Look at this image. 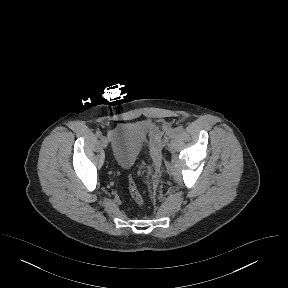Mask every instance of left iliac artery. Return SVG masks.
<instances>
[{
  "label": "left iliac artery",
  "mask_w": 288,
  "mask_h": 288,
  "mask_svg": "<svg viewBox=\"0 0 288 288\" xmlns=\"http://www.w3.org/2000/svg\"><path fill=\"white\" fill-rule=\"evenodd\" d=\"M183 131V127L182 126H178L177 128H175V133H180Z\"/></svg>",
  "instance_id": "1"
}]
</instances>
